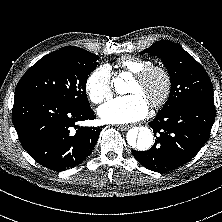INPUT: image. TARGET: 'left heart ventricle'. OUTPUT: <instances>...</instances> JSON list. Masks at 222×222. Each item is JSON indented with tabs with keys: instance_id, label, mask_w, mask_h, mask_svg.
<instances>
[{
	"instance_id": "obj_1",
	"label": "left heart ventricle",
	"mask_w": 222,
	"mask_h": 222,
	"mask_svg": "<svg viewBox=\"0 0 222 222\" xmlns=\"http://www.w3.org/2000/svg\"><path fill=\"white\" fill-rule=\"evenodd\" d=\"M163 79L160 75L152 76L148 81L141 83L133 79L128 87L127 93L141 95L150 105L161 94Z\"/></svg>"
}]
</instances>
